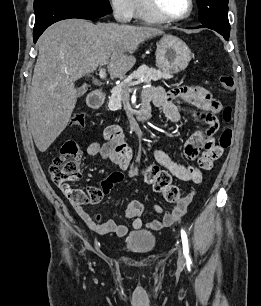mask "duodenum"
<instances>
[{
  "label": "duodenum",
  "mask_w": 261,
  "mask_h": 306,
  "mask_svg": "<svg viewBox=\"0 0 261 306\" xmlns=\"http://www.w3.org/2000/svg\"><path fill=\"white\" fill-rule=\"evenodd\" d=\"M105 100V92L101 89L95 90L88 95L87 104L91 108H99ZM150 114V106L143 101L141 107L137 111L136 121L146 119Z\"/></svg>",
  "instance_id": "duodenum-1"
}]
</instances>
